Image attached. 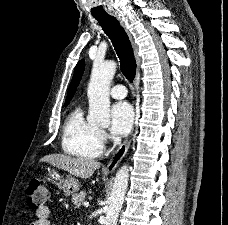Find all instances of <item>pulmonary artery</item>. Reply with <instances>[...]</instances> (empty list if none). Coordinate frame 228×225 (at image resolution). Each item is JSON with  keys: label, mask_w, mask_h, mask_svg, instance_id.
I'll use <instances>...</instances> for the list:
<instances>
[{"label": "pulmonary artery", "mask_w": 228, "mask_h": 225, "mask_svg": "<svg viewBox=\"0 0 228 225\" xmlns=\"http://www.w3.org/2000/svg\"><path fill=\"white\" fill-rule=\"evenodd\" d=\"M127 93V89L123 85H116L110 89V95L116 99L125 98Z\"/></svg>", "instance_id": "e3ab8cb5"}]
</instances>
